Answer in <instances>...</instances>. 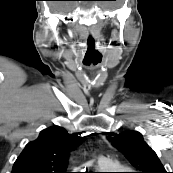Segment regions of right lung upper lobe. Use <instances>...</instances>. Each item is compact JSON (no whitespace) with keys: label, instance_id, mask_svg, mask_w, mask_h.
Instances as JSON below:
<instances>
[{"label":"right lung upper lobe","instance_id":"cb5924a9","mask_svg":"<svg viewBox=\"0 0 173 173\" xmlns=\"http://www.w3.org/2000/svg\"><path fill=\"white\" fill-rule=\"evenodd\" d=\"M80 143L77 134L69 135L62 127L44 129L26 145L11 173H66L69 153Z\"/></svg>","mask_w":173,"mask_h":173}]
</instances>
